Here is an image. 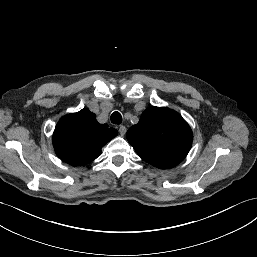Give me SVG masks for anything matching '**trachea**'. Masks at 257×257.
<instances>
[{"label":"trachea","mask_w":257,"mask_h":257,"mask_svg":"<svg viewBox=\"0 0 257 257\" xmlns=\"http://www.w3.org/2000/svg\"><path fill=\"white\" fill-rule=\"evenodd\" d=\"M111 122L114 124H121L122 123V116L119 112L115 111L111 115Z\"/></svg>","instance_id":"3493384b"}]
</instances>
